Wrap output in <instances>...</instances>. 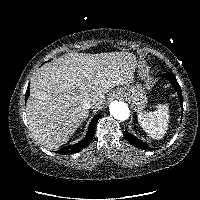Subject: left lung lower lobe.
<instances>
[{
	"label": "left lung lower lobe",
	"mask_w": 200,
	"mask_h": 200,
	"mask_svg": "<svg viewBox=\"0 0 200 200\" xmlns=\"http://www.w3.org/2000/svg\"><path fill=\"white\" fill-rule=\"evenodd\" d=\"M161 77L167 79L172 86L175 88V90L177 91L178 95H179V99L181 102V107L183 108V98H182V92L180 89V86L175 78V76L173 74H161ZM125 138L127 139V141L129 143H131L133 146L140 148L142 150H149L150 148L147 146V144H145L144 142H142L141 140L135 138L133 135H131L130 133H128L127 131L123 132Z\"/></svg>",
	"instance_id": "left-lung-lower-lobe-1"
}]
</instances>
